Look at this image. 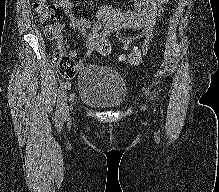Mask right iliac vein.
Returning <instances> with one entry per match:
<instances>
[{"mask_svg": "<svg viewBox=\"0 0 219 192\" xmlns=\"http://www.w3.org/2000/svg\"><path fill=\"white\" fill-rule=\"evenodd\" d=\"M69 100L72 102L74 101V95H70ZM69 116V106L67 102H64L63 105V112H62V119H66Z\"/></svg>", "mask_w": 219, "mask_h": 192, "instance_id": "obj_1", "label": "right iliac vein"}]
</instances>
